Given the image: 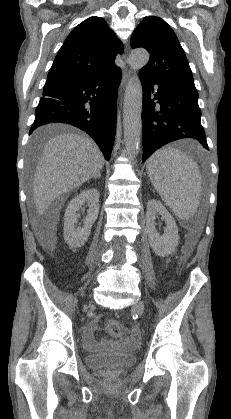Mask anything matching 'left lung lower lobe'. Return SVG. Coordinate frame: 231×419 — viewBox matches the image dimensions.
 Instances as JSON below:
<instances>
[{
	"instance_id": "left-lung-lower-lobe-1",
	"label": "left lung lower lobe",
	"mask_w": 231,
	"mask_h": 419,
	"mask_svg": "<svg viewBox=\"0 0 231 419\" xmlns=\"http://www.w3.org/2000/svg\"><path fill=\"white\" fill-rule=\"evenodd\" d=\"M139 76L143 87V162L161 146L183 138L196 139L208 150L196 88L142 73ZM154 85L158 86L156 92Z\"/></svg>"
}]
</instances>
